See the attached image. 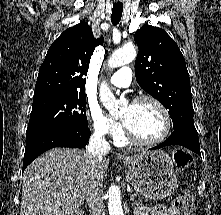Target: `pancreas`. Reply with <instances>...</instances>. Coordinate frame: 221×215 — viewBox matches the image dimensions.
<instances>
[{
	"instance_id": "obj_1",
	"label": "pancreas",
	"mask_w": 221,
	"mask_h": 215,
	"mask_svg": "<svg viewBox=\"0 0 221 215\" xmlns=\"http://www.w3.org/2000/svg\"><path fill=\"white\" fill-rule=\"evenodd\" d=\"M134 196V202L137 206H142L144 202L147 201V199H144V197H142L139 193H133L132 194Z\"/></svg>"
}]
</instances>
